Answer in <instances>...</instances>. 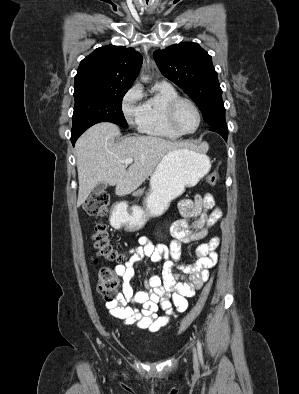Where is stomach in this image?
<instances>
[{
  "label": "stomach",
  "instance_id": "1",
  "mask_svg": "<svg viewBox=\"0 0 299 394\" xmlns=\"http://www.w3.org/2000/svg\"><path fill=\"white\" fill-rule=\"evenodd\" d=\"M209 158L202 153L181 147L168 152L151 175L150 190L145 198L146 209L137 205L124 212L123 222L129 230L144 226L149 216H160L170 202L186 187H192L210 170Z\"/></svg>",
  "mask_w": 299,
  "mask_h": 394
}]
</instances>
